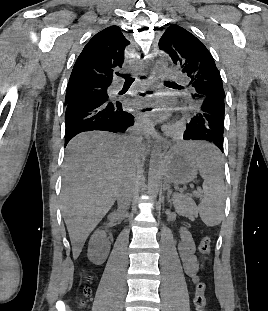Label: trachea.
<instances>
[{
  "mask_svg": "<svg viewBox=\"0 0 268 311\" xmlns=\"http://www.w3.org/2000/svg\"><path fill=\"white\" fill-rule=\"evenodd\" d=\"M121 76L125 79V83H132L134 81V78L131 75L123 74Z\"/></svg>",
  "mask_w": 268,
  "mask_h": 311,
  "instance_id": "1",
  "label": "trachea"
}]
</instances>
